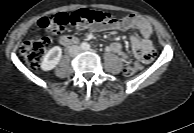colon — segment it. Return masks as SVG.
<instances>
[{"label":"colon","instance_id":"5ec220e1","mask_svg":"<svg viewBox=\"0 0 194 133\" xmlns=\"http://www.w3.org/2000/svg\"><path fill=\"white\" fill-rule=\"evenodd\" d=\"M113 21L114 19L108 12L90 8H81L70 14L58 13L44 17L39 21V25L48 30L50 35L25 41L20 48L21 55L29 66L38 67L44 53L50 47L52 42L51 35L59 33L66 24L71 23L77 29L83 30L88 27L109 24ZM152 58L153 55L141 54V62L125 67L123 70L124 75H134L143 68L145 63L151 61Z\"/></svg>","mask_w":194,"mask_h":133}]
</instances>
